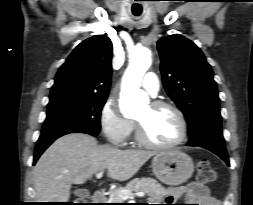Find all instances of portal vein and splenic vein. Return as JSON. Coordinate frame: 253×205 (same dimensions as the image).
<instances>
[{"instance_id": "18ae733b", "label": "portal vein and splenic vein", "mask_w": 253, "mask_h": 205, "mask_svg": "<svg viewBox=\"0 0 253 205\" xmlns=\"http://www.w3.org/2000/svg\"><path fill=\"white\" fill-rule=\"evenodd\" d=\"M102 175H103V171L97 173L96 178H100V177H102ZM118 196L122 200H127V199L133 198V196L144 197L145 193L144 192H137V193L133 194L131 191H128V190H121L118 192Z\"/></svg>"}]
</instances>
